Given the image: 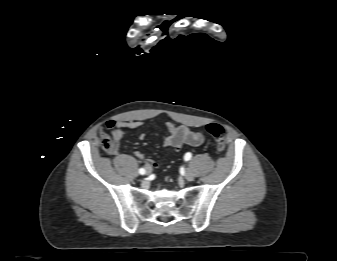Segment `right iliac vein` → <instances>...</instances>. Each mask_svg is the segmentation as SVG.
I'll return each mask as SVG.
<instances>
[{"label":"right iliac vein","mask_w":337,"mask_h":261,"mask_svg":"<svg viewBox=\"0 0 337 261\" xmlns=\"http://www.w3.org/2000/svg\"><path fill=\"white\" fill-rule=\"evenodd\" d=\"M150 173H151V170H150V169H147L146 174L148 175V174H150Z\"/></svg>","instance_id":"obj_1"}]
</instances>
